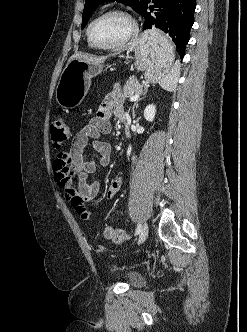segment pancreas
Masks as SVG:
<instances>
[{
	"instance_id": "1",
	"label": "pancreas",
	"mask_w": 247,
	"mask_h": 332,
	"mask_svg": "<svg viewBox=\"0 0 247 332\" xmlns=\"http://www.w3.org/2000/svg\"><path fill=\"white\" fill-rule=\"evenodd\" d=\"M143 92V86L136 78H130L123 87L124 97L130 98L135 94Z\"/></svg>"
}]
</instances>
